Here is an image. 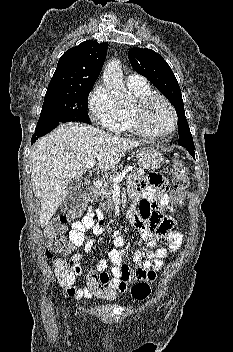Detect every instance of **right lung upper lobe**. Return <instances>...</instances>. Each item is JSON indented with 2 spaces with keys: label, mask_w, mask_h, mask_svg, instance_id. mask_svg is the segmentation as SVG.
Masks as SVG:
<instances>
[{
  "label": "right lung upper lobe",
  "mask_w": 233,
  "mask_h": 352,
  "mask_svg": "<svg viewBox=\"0 0 233 352\" xmlns=\"http://www.w3.org/2000/svg\"><path fill=\"white\" fill-rule=\"evenodd\" d=\"M107 48V43L88 40L66 51L58 61L48 89L94 85L105 62Z\"/></svg>",
  "instance_id": "right-lung-upper-lobe-1"
}]
</instances>
